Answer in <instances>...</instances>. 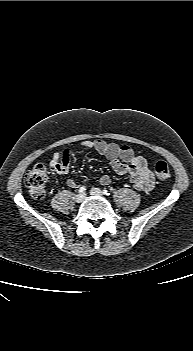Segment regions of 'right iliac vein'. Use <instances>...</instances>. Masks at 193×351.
I'll return each instance as SVG.
<instances>
[{"instance_id": "obj_1", "label": "right iliac vein", "mask_w": 193, "mask_h": 351, "mask_svg": "<svg viewBox=\"0 0 193 351\" xmlns=\"http://www.w3.org/2000/svg\"><path fill=\"white\" fill-rule=\"evenodd\" d=\"M85 197H86L85 194H78L76 196L75 200H76V202L81 203L84 201Z\"/></svg>"}]
</instances>
